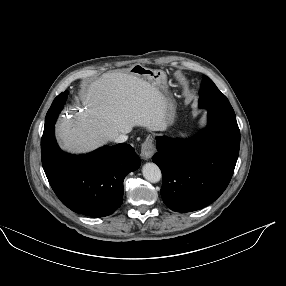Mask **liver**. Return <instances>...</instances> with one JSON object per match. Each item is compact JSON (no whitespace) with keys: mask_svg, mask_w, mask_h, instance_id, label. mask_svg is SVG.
<instances>
[{"mask_svg":"<svg viewBox=\"0 0 286 286\" xmlns=\"http://www.w3.org/2000/svg\"><path fill=\"white\" fill-rule=\"evenodd\" d=\"M89 110L62 118L56 135L61 146L75 153L100 147L134 126L151 131L167 127V105L154 83L120 70L91 82L82 94Z\"/></svg>","mask_w":286,"mask_h":286,"instance_id":"liver-1","label":"liver"}]
</instances>
